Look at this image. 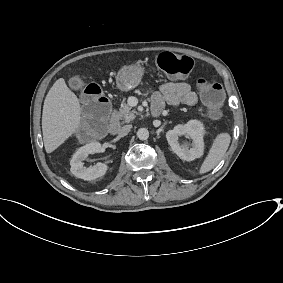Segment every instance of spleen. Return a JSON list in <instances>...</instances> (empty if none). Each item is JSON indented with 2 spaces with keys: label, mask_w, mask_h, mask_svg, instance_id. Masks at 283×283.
Wrapping results in <instances>:
<instances>
[{
  "label": "spleen",
  "mask_w": 283,
  "mask_h": 283,
  "mask_svg": "<svg viewBox=\"0 0 283 283\" xmlns=\"http://www.w3.org/2000/svg\"><path fill=\"white\" fill-rule=\"evenodd\" d=\"M230 140L231 137L228 133H221L217 135L207 157L201 165V174L209 172L221 161L229 147Z\"/></svg>",
  "instance_id": "3e777b00"
}]
</instances>
